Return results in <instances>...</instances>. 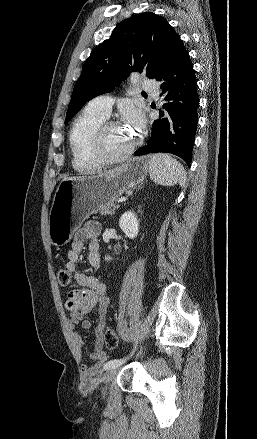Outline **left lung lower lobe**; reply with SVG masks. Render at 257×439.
I'll return each mask as SVG.
<instances>
[{
    "label": "left lung lower lobe",
    "instance_id": "0a47b994",
    "mask_svg": "<svg viewBox=\"0 0 257 439\" xmlns=\"http://www.w3.org/2000/svg\"><path fill=\"white\" fill-rule=\"evenodd\" d=\"M164 96V110L152 124L151 137L134 155L172 153L190 167L198 123L199 98L194 70L183 43L178 38L162 73L156 78Z\"/></svg>",
    "mask_w": 257,
    "mask_h": 439
}]
</instances>
